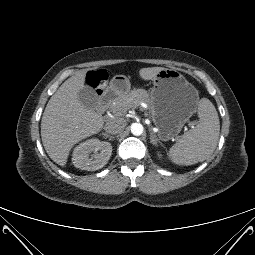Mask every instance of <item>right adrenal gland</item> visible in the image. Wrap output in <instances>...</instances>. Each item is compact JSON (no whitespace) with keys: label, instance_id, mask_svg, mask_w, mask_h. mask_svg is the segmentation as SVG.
<instances>
[{"label":"right adrenal gland","instance_id":"1","mask_svg":"<svg viewBox=\"0 0 255 255\" xmlns=\"http://www.w3.org/2000/svg\"><path fill=\"white\" fill-rule=\"evenodd\" d=\"M103 135L106 137V138H108L109 137V135L108 134H106V133H103ZM114 139V137H112V136H110L109 137V140H113Z\"/></svg>","mask_w":255,"mask_h":255}]
</instances>
